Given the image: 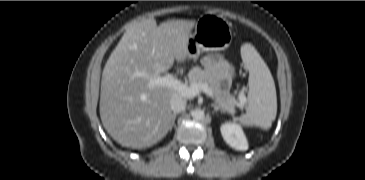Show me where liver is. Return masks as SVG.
<instances>
[{"label":"liver","mask_w":365,"mask_h":180,"mask_svg":"<svg viewBox=\"0 0 365 180\" xmlns=\"http://www.w3.org/2000/svg\"><path fill=\"white\" fill-rule=\"evenodd\" d=\"M195 21L175 20L157 26L154 19L131 23L104 67L100 117L119 144L141 149L162 140L172 124V88L149 86L174 64L188 58L186 40Z\"/></svg>","instance_id":"obj_1"}]
</instances>
